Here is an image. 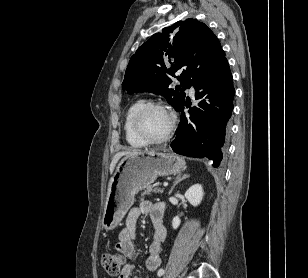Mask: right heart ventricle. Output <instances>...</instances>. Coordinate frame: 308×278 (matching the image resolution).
Returning a JSON list of instances; mask_svg holds the SVG:
<instances>
[{
  "label": "right heart ventricle",
  "mask_w": 308,
  "mask_h": 278,
  "mask_svg": "<svg viewBox=\"0 0 308 278\" xmlns=\"http://www.w3.org/2000/svg\"><path fill=\"white\" fill-rule=\"evenodd\" d=\"M145 103L142 99L134 100L126 108L123 119V129L127 143L134 148H142L147 145L146 142L141 140L133 130L132 117L135 111Z\"/></svg>",
  "instance_id": "obj_1"
}]
</instances>
